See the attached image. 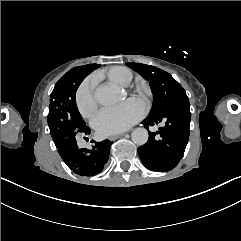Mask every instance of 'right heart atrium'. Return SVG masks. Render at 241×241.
I'll use <instances>...</instances> for the list:
<instances>
[{
  "label": "right heart atrium",
  "mask_w": 241,
  "mask_h": 241,
  "mask_svg": "<svg viewBox=\"0 0 241 241\" xmlns=\"http://www.w3.org/2000/svg\"><path fill=\"white\" fill-rule=\"evenodd\" d=\"M77 109L83 117H89L97 108V102L88 86H82L76 94Z\"/></svg>",
  "instance_id": "right-heart-atrium-1"
}]
</instances>
